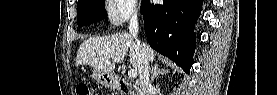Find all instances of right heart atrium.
Segmentation results:
<instances>
[{"instance_id":"1","label":"right heart atrium","mask_w":277,"mask_h":95,"mask_svg":"<svg viewBox=\"0 0 277 95\" xmlns=\"http://www.w3.org/2000/svg\"><path fill=\"white\" fill-rule=\"evenodd\" d=\"M107 9L108 20L114 26H119L128 20L137 7L136 0H110Z\"/></svg>"}]
</instances>
